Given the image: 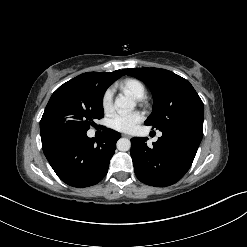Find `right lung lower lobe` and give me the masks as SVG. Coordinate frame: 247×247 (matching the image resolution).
Returning a JSON list of instances; mask_svg holds the SVG:
<instances>
[{
    "label": "right lung lower lobe",
    "mask_w": 247,
    "mask_h": 247,
    "mask_svg": "<svg viewBox=\"0 0 247 247\" xmlns=\"http://www.w3.org/2000/svg\"><path fill=\"white\" fill-rule=\"evenodd\" d=\"M120 133L105 129L102 136L69 134L42 139L43 152L57 176L73 187H88L107 174Z\"/></svg>",
    "instance_id": "obj_1"
}]
</instances>
